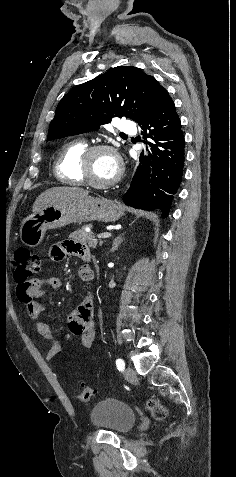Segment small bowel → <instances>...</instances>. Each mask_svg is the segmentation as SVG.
Returning a JSON list of instances; mask_svg holds the SVG:
<instances>
[{"label": "small bowel", "mask_w": 236, "mask_h": 477, "mask_svg": "<svg viewBox=\"0 0 236 477\" xmlns=\"http://www.w3.org/2000/svg\"><path fill=\"white\" fill-rule=\"evenodd\" d=\"M50 256L54 261H62L68 256H78L85 262L91 260L89 248L74 241H62L54 244L51 247ZM79 275L84 281H92L94 278V272L87 264L80 267ZM46 288L60 290L63 288V281L55 276L36 279L32 282V289L18 293V297L25 304L29 317L37 321L36 327L39 334L51 342L47 359L53 360L61 353L62 345L55 338L50 324L39 320L47 311V306L41 301ZM68 327L71 334L79 338L82 347L90 348L92 346L95 338V304L90 294L84 298L71 316Z\"/></svg>", "instance_id": "1"}]
</instances>
